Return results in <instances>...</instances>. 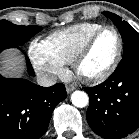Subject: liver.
I'll return each mask as SVG.
<instances>
[{
  "label": "liver",
  "mask_w": 139,
  "mask_h": 139,
  "mask_svg": "<svg viewBox=\"0 0 139 139\" xmlns=\"http://www.w3.org/2000/svg\"><path fill=\"white\" fill-rule=\"evenodd\" d=\"M23 58L14 50L6 51L0 59V71L9 77H20L23 72Z\"/></svg>",
  "instance_id": "obj_1"
}]
</instances>
